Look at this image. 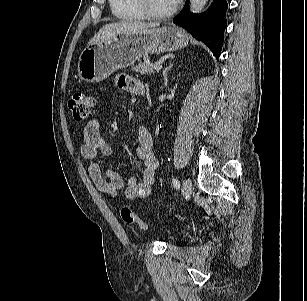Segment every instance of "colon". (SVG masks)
I'll use <instances>...</instances> for the list:
<instances>
[{
    "label": "colon",
    "instance_id": "5ec220e1",
    "mask_svg": "<svg viewBox=\"0 0 307 301\" xmlns=\"http://www.w3.org/2000/svg\"><path fill=\"white\" fill-rule=\"evenodd\" d=\"M68 104L74 119L79 122L90 119L95 113L96 100L92 95L85 92L78 91L73 93ZM121 218L126 224L137 226L141 230H147L148 228L147 223L130 209L123 208Z\"/></svg>",
    "mask_w": 307,
    "mask_h": 301
}]
</instances>
